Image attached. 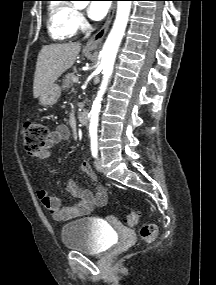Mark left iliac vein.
Here are the masks:
<instances>
[{"instance_id": "left-iliac-vein-1", "label": "left iliac vein", "mask_w": 216, "mask_h": 285, "mask_svg": "<svg viewBox=\"0 0 216 285\" xmlns=\"http://www.w3.org/2000/svg\"><path fill=\"white\" fill-rule=\"evenodd\" d=\"M94 164H95L96 169H97L99 172H102V171H103L102 160H101L100 157H97V158H96Z\"/></svg>"}]
</instances>
